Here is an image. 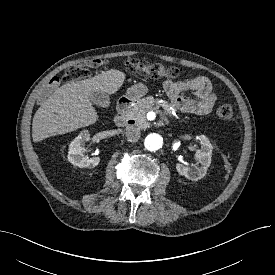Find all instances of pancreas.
<instances>
[{
    "mask_svg": "<svg viewBox=\"0 0 275 275\" xmlns=\"http://www.w3.org/2000/svg\"><path fill=\"white\" fill-rule=\"evenodd\" d=\"M155 103L156 100L153 96L138 99L136 103L129 108L126 117L135 120L141 127H145L148 125L146 121V113L153 110ZM161 106L166 114L169 116L172 115L170 105L162 103Z\"/></svg>",
    "mask_w": 275,
    "mask_h": 275,
    "instance_id": "cf45deb5",
    "label": "pancreas"
}]
</instances>
